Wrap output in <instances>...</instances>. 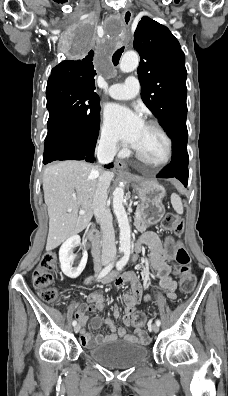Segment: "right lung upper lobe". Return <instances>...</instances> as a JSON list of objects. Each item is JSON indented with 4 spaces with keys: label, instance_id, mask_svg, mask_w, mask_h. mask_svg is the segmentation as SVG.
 Masks as SVG:
<instances>
[{
    "label": "right lung upper lobe",
    "instance_id": "obj_1",
    "mask_svg": "<svg viewBox=\"0 0 228 396\" xmlns=\"http://www.w3.org/2000/svg\"><path fill=\"white\" fill-rule=\"evenodd\" d=\"M94 51L79 60H65L54 67L48 81L65 80L75 82L87 89H95L94 76L96 72L93 66Z\"/></svg>",
    "mask_w": 228,
    "mask_h": 396
}]
</instances>
